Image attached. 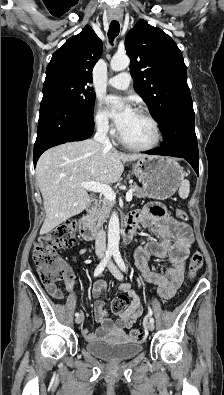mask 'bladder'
Listing matches in <instances>:
<instances>
[{"label":"bladder","mask_w":224,"mask_h":395,"mask_svg":"<svg viewBox=\"0 0 224 395\" xmlns=\"http://www.w3.org/2000/svg\"><path fill=\"white\" fill-rule=\"evenodd\" d=\"M85 349L91 355L109 362H122L131 360L141 353L143 346L136 341L122 338L120 342L96 341L85 344Z\"/></svg>","instance_id":"1"}]
</instances>
